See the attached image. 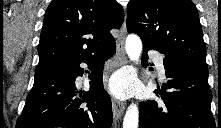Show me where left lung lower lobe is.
<instances>
[{"label":"left lung lower lobe","mask_w":221,"mask_h":128,"mask_svg":"<svg viewBox=\"0 0 221 128\" xmlns=\"http://www.w3.org/2000/svg\"><path fill=\"white\" fill-rule=\"evenodd\" d=\"M150 49L144 46L145 67ZM164 68L168 81L161 92L157 89L161 100L140 103L139 128H215L208 69L170 55H165Z\"/></svg>","instance_id":"1"}]
</instances>
